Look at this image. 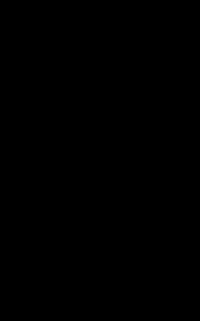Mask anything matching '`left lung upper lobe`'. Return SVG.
I'll use <instances>...</instances> for the list:
<instances>
[{"instance_id":"left-lung-upper-lobe-1","label":"left lung upper lobe","mask_w":200,"mask_h":321,"mask_svg":"<svg viewBox=\"0 0 200 321\" xmlns=\"http://www.w3.org/2000/svg\"><path fill=\"white\" fill-rule=\"evenodd\" d=\"M104 127L116 134L124 145L127 165L120 176L122 182L153 176L172 179L169 154L153 134L117 121L108 122Z\"/></svg>"}]
</instances>
